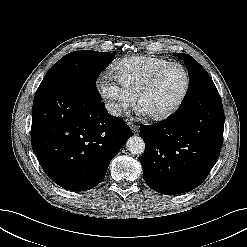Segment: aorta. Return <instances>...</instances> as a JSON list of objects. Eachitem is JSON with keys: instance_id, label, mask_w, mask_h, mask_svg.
Masks as SVG:
<instances>
[{"instance_id": "obj_1", "label": "aorta", "mask_w": 247, "mask_h": 247, "mask_svg": "<svg viewBox=\"0 0 247 247\" xmlns=\"http://www.w3.org/2000/svg\"><path fill=\"white\" fill-rule=\"evenodd\" d=\"M126 147L134 155H141L145 151L144 140L139 136H132L127 140Z\"/></svg>"}]
</instances>
